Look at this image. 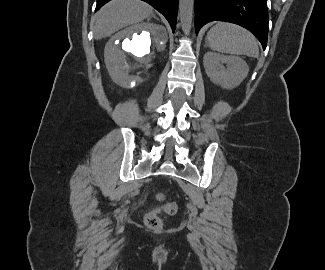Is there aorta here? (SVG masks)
<instances>
[{
  "label": "aorta",
  "mask_w": 325,
  "mask_h": 270,
  "mask_svg": "<svg viewBox=\"0 0 325 270\" xmlns=\"http://www.w3.org/2000/svg\"><path fill=\"white\" fill-rule=\"evenodd\" d=\"M194 0H179V17L184 34L188 35L192 27Z\"/></svg>",
  "instance_id": "obj_1"
}]
</instances>
